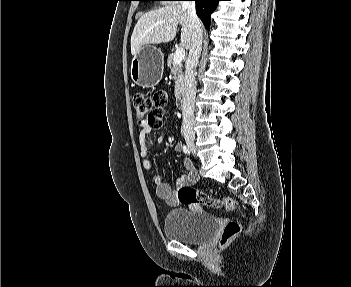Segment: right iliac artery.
<instances>
[{"label":"right iliac artery","instance_id":"82829eb1","mask_svg":"<svg viewBox=\"0 0 351 287\" xmlns=\"http://www.w3.org/2000/svg\"><path fill=\"white\" fill-rule=\"evenodd\" d=\"M183 152L187 155H190L189 148L186 145H183Z\"/></svg>","mask_w":351,"mask_h":287}]
</instances>
